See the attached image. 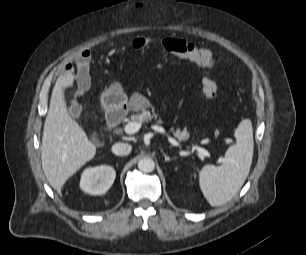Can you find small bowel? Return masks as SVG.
Wrapping results in <instances>:
<instances>
[{"label":"small bowel","mask_w":306,"mask_h":255,"mask_svg":"<svg viewBox=\"0 0 306 255\" xmlns=\"http://www.w3.org/2000/svg\"><path fill=\"white\" fill-rule=\"evenodd\" d=\"M89 61H90V54H89V52H83V53L80 54V57H79L80 64L85 65ZM68 67H71V65H69Z\"/></svg>","instance_id":"small-bowel-1"}]
</instances>
